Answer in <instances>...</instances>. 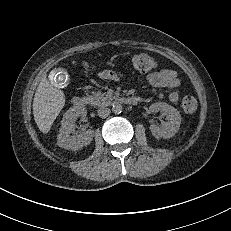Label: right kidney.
<instances>
[{
  "label": "right kidney",
  "mask_w": 231,
  "mask_h": 231,
  "mask_svg": "<svg viewBox=\"0 0 231 231\" xmlns=\"http://www.w3.org/2000/svg\"><path fill=\"white\" fill-rule=\"evenodd\" d=\"M87 111L84 108H70L61 121V128L57 137V145L67 150H79L91 143L94 131L87 130L82 134L71 136V132L75 130V121L78 117H85Z\"/></svg>",
  "instance_id": "obj_1"
}]
</instances>
